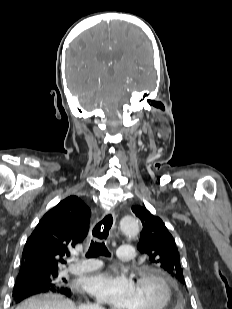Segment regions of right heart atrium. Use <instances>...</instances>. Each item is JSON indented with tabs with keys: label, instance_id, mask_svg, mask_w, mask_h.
<instances>
[{
	"label": "right heart atrium",
	"instance_id": "1",
	"mask_svg": "<svg viewBox=\"0 0 232 309\" xmlns=\"http://www.w3.org/2000/svg\"><path fill=\"white\" fill-rule=\"evenodd\" d=\"M92 309H102V308L100 306H98V305H93Z\"/></svg>",
	"mask_w": 232,
	"mask_h": 309
}]
</instances>
